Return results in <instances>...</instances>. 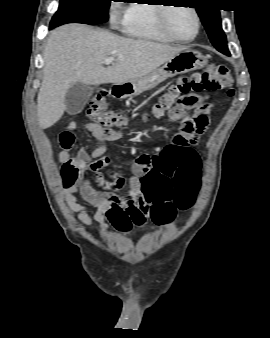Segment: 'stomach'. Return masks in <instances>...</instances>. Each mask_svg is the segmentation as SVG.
<instances>
[{"instance_id": "1", "label": "stomach", "mask_w": 270, "mask_h": 338, "mask_svg": "<svg viewBox=\"0 0 270 338\" xmlns=\"http://www.w3.org/2000/svg\"><path fill=\"white\" fill-rule=\"evenodd\" d=\"M205 58L198 51L186 49L164 65L154 71L136 78L130 82L120 84L124 96H133L151 89L168 78L184 74L193 70L202 69L206 65Z\"/></svg>"}]
</instances>
